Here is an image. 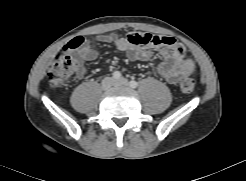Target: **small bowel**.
Instances as JSON below:
<instances>
[{"instance_id": "1", "label": "small bowel", "mask_w": 246, "mask_h": 181, "mask_svg": "<svg viewBox=\"0 0 246 181\" xmlns=\"http://www.w3.org/2000/svg\"><path fill=\"white\" fill-rule=\"evenodd\" d=\"M142 36L143 34L140 33H128L126 36L101 35L97 40H89L81 45L76 54L82 61H93L98 57V43H114L119 51L127 54L130 58L146 61L153 56L150 47H156L163 62L150 74L160 76L170 84H176L193 73L194 63L186 57L184 46L176 39L159 36L158 44H142L140 43ZM84 73L85 67L80 64L78 74L83 75Z\"/></svg>"}]
</instances>
